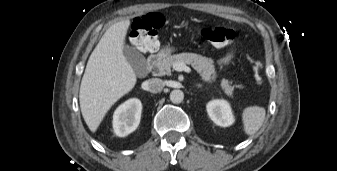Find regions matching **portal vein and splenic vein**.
Segmentation results:
<instances>
[{
  "label": "portal vein and splenic vein",
  "instance_id": "obj_1",
  "mask_svg": "<svg viewBox=\"0 0 337 171\" xmlns=\"http://www.w3.org/2000/svg\"><path fill=\"white\" fill-rule=\"evenodd\" d=\"M173 68H174V70H176V71H185V72H187V73H190V72H191V68L188 67V66H186V64L183 63V62H176V63H174V64H173Z\"/></svg>",
  "mask_w": 337,
  "mask_h": 171
}]
</instances>
